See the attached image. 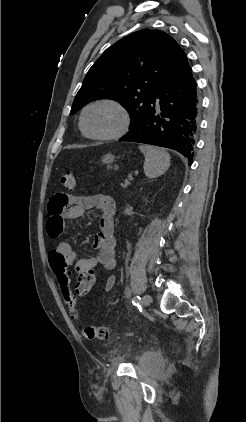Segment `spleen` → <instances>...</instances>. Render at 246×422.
<instances>
[{"label":"spleen","mask_w":246,"mask_h":422,"mask_svg":"<svg viewBox=\"0 0 246 422\" xmlns=\"http://www.w3.org/2000/svg\"><path fill=\"white\" fill-rule=\"evenodd\" d=\"M139 148L145 157L143 168L148 178L159 177L168 170L171 158L165 149L148 145H141Z\"/></svg>","instance_id":"1"}]
</instances>
